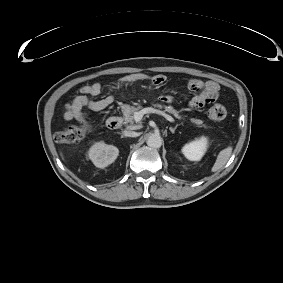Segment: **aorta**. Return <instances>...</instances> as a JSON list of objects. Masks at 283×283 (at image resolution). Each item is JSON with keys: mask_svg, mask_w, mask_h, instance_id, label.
<instances>
[{"mask_svg": "<svg viewBox=\"0 0 283 283\" xmlns=\"http://www.w3.org/2000/svg\"><path fill=\"white\" fill-rule=\"evenodd\" d=\"M162 138L159 134H151L148 138H147V145L151 148H160L162 145Z\"/></svg>", "mask_w": 283, "mask_h": 283, "instance_id": "1", "label": "aorta"}]
</instances>
